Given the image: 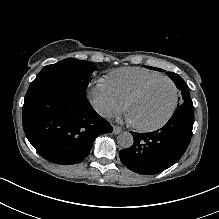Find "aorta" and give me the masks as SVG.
<instances>
[{
  "instance_id": "aorta-1",
  "label": "aorta",
  "mask_w": 219,
  "mask_h": 219,
  "mask_svg": "<svg viewBox=\"0 0 219 219\" xmlns=\"http://www.w3.org/2000/svg\"><path fill=\"white\" fill-rule=\"evenodd\" d=\"M117 142L122 148H130L134 143V139L129 132H124L118 135Z\"/></svg>"
}]
</instances>
